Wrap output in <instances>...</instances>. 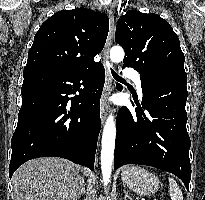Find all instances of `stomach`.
Instances as JSON below:
<instances>
[{"instance_id":"stomach-1","label":"stomach","mask_w":205,"mask_h":200,"mask_svg":"<svg viewBox=\"0 0 205 200\" xmlns=\"http://www.w3.org/2000/svg\"><path fill=\"white\" fill-rule=\"evenodd\" d=\"M126 187L139 195L150 196L158 191L160 181L158 177L139 166H128L121 174Z\"/></svg>"}]
</instances>
